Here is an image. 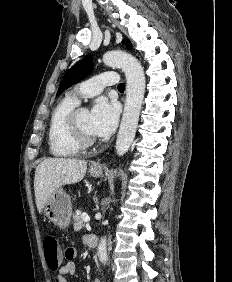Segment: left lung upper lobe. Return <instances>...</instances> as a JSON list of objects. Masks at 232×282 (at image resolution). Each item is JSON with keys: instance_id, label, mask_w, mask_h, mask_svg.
<instances>
[{"instance_id": "left-lung-upper-lobe-1", "label": "left lung upper lobe", "mask_w": 232, "mask_h": 282, "mask_svg": "<svg viewBox=\"0 0 232 282\" xmlns=\"http://www.w3.org/2000/svg\"><path fill=\"white\" fill-rule=\"evenodd\" d=\"M127 47V49L131 48V44L128 40L122 41ZM93 70V61L92 56L87 55L84 59L80 60L73 67L66 71L63 80L58 89L57 95H60L67 88L77 83L78 81L87 77Z\"/></svg>"}]
</instances>
